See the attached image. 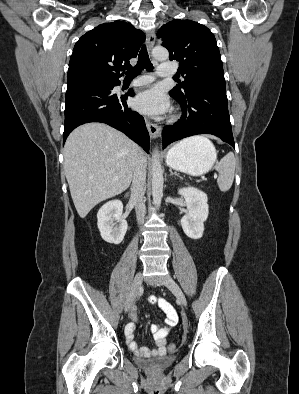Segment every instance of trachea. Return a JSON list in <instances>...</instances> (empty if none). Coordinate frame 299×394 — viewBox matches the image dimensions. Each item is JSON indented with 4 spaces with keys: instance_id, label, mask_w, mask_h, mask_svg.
<instances>
[{
    "instance_id": "3493384b",
    "label": "trachea",
    "mask_w": 299,
    "mask_h": 394,
    "mask_svg": "<svg viewBox=\"0 0 299 394\" xmlns=\"http://www.w3.org/2000/svg\"><path fill=\"white\" fill-rule=\"evenodd\" d=\"M143 69H146L147 71L153 70V66H152V63L150 62L148 52L146 50L145 45L140 50V53L138 55L137 65L125 73L126 74L125 79L135 78L137 75H139L141 73V71Z\"/></svg>"
}]
</instances>
